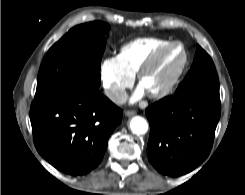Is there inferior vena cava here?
<instances>
[{
    "instance_id": "obj_1",
    "label": "inferior vena cava",
    "mask_w": 245,
    "mask_h": 195,
    "mask_svg": "<svg viewBox=\"0 0 245 195\" xmlns=\"http://www.w3.org/2000/svg\"><path fill=\"white\" fill-rule=\"evenodd\" d=\"M106 95L117 104H124L128 99V95L124 90H107Z\"/></svg>"
}]
</instances>
